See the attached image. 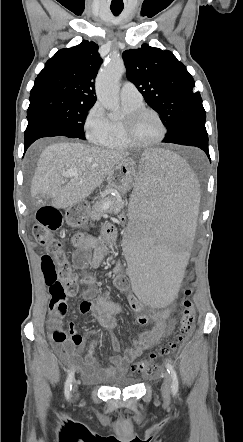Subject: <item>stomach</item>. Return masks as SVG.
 Segmentation results:
<instances>
[{"mask_svg":"<svg viewBox=\"0 0 243 442\" xmlns=\"http://www.w3.org/2000/svg\"><path fill=\"white\" fill-rule=\"evenodd\" d=\"M134 175H136L134 161L128 158L124 159L109 172L107 176L108 186L125 194L130 190ZM88 215V206L79 202L66 210L65 220L71 227H81L86 224Z\"/></svg>","mask_w":243,"mask_h":442,"instance_id":"1","label":"stomach"}]
</instances>
